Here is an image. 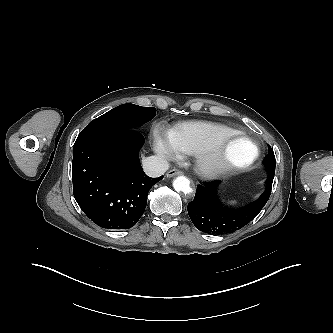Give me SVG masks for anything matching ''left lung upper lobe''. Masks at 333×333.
Masks as SVG:
<instances>
[{"label": "left lung upper lobe", "instance_id": "left-lung-upper-lobe-1", "mask_svg": "<svg viewBox=\"0 0 333 333\" xmlns=\"http://www.w3.org/2000/svg\"><path fill=\"white\" fill-rule=\"evenodd\" d=\"M263 163L265 164L267 169L275 168L276 166L275 155L270 145H268V154L264 158Z\"/></svg>", "mask_w": 333, "mask_h": 333}]
</instances>
